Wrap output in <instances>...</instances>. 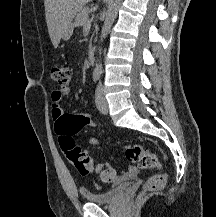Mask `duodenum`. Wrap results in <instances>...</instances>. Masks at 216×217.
Returning <instances> with one entry per match:
<instances>
[{
  "mask_svg": "<svg viewBox=\"0 0 216 217\" xmlns=\"http://www.w3.org/2000/svg\"><path fill=\"white\" fill-rule=\"evenodd\" d=\"M88 59H89L90 63L95 62V46L94 45H90L88 47Z\"/></svg>",
  "mask_w": 216,
  "mask_h": 217,
  "instance_id": "1",
  "label": "duodenum"
}]
</instances>
